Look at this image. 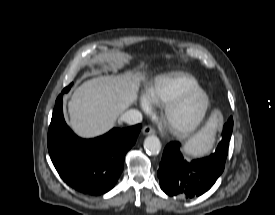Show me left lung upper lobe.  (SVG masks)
<instances>
[{"label":"left lung upper lobe","instance_id":"1","mask_svg":"<svg viewBox=\"0 0 275 215\" xmlns=\"http://www.w3.org/2000/svg\"><path fill=\"white\" fill-rule=\"evenodd\" d=\"M232 125V119L231 117L229 118L228 122L224 125L223 130L227 129L228 127H230ZM228 145H225L222 141L219 143L218 148L216 149L215 153L212 154L215 157L222 159V160H226L227 154H228Z\"/></svg>","mask_w":275,"mask_h":215}]
</instances>
